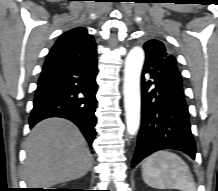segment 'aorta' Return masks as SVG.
Listing matches in <instances>:
<instances>
[{
	"instance_id": "1",
	"label": "aorta",
	"mask_w": 218,
	"mask_h": 191,
	"mask_svg": "<svg viewBox=\"0 0 218 191\" xmlns=\"http://www.w3.org/2000/svg\"><path fill=\"white\" fill-rule=\"evenodd\" d=\"M145 59L144 51L141 47H134L125 59L124 68V107L127 132L134 136L140 126V75Z\"/></svg>"
}]
</instances>
